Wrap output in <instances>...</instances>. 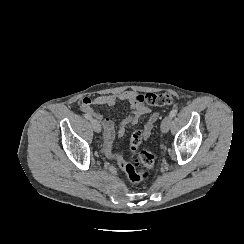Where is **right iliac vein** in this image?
<instances>
[{"instance_id": "1", "label": "right iliac vein", "mask_w": 244, "mask_h": 244, "mask_svg": "<svg viewBox=\"0 0 244 244\" xmlns=\"http://www.w3.org/2000/svg\"><path fill=\"white\" fill-rule=\"evenodd\" d=\"M91 125L95 132L100 133L101 132V125L98 120L91 119Z\"/></svg>"}]
</instances>
